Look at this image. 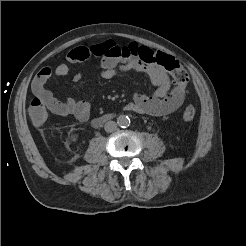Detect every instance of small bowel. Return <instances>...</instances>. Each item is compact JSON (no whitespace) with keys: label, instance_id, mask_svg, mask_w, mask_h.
<instances>
[{"label":"small bowel","instance_id":"1","mask_svg":"<svg viewBox=\"0 0 246 246\" xmlns=\"http://www.w3.org/2000/svg\"><path fill=\"white\" fill-rule=\"evenodd\" d=\"M138 48L136 44L122 45L114 41L76 47L68 52L64 63L57 65L54 69L42 68L32 81V91L34 94L43 95L53 114L73 116L80 121L87 120L91 112L88 99L59 100L45 90L44 86L52 76L62 77L69 74L70 65L97 58L100 61L101 77L111 79L120 72L137 71L145 73L155 87L148 95L135 93L132 102L125 105L124 109L151 116H165L176 111L185 100L186 88L181 89L173 84L170 75L161 66L139 60ZM82 76V73L76 74L74 81L80 82Z\"/></svg>","mask_w":246,"mask_h":246}]
</instances>
